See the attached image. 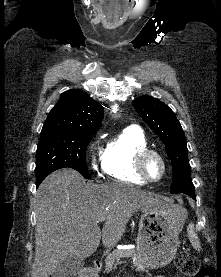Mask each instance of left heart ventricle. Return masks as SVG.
Here are the masks:
<instances>
[{
	"label": "left heart ventricle",
	"mask_w": 221,
	"mask_h": 277,
	"mask_svg": "<svg viewBox=\"0 0 221 277\" xmlns=\"http://www.w3.org/2000/svg\"><path fill=\"white\" fill-rule=\"evenodd\" d=\"M145 169L147 175L152 179L158 178L162 170L160 162L155 157H151L147 160Z\"/></svg>",
	"instance_id": "b2bd125f"
}]
</instances>
